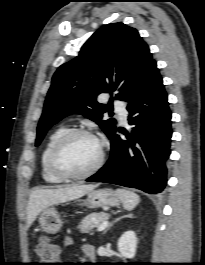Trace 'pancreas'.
Wrapping results in <instances>:
<instances>
[{
  "label": "pancreas",
  "mask_w": 205,
  "mask_h": 265,
  "mask_svg": "<svg viewBox=\"0 0 205 265\" xmlns=\"http://www.w3.org/2000/svg\"><path fill=\"white\" fill-rule=\"evenodd\" d=\"M108 214L104 212L91 213L82 219L78 225L81 233H90L95 227H98L103 221L107 220Z\"/></svg>",
  "instance_id": "obj_1"
}]
</instances>
